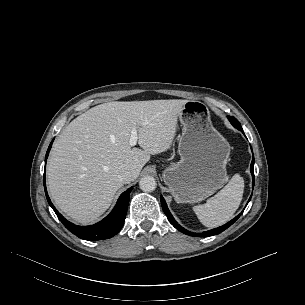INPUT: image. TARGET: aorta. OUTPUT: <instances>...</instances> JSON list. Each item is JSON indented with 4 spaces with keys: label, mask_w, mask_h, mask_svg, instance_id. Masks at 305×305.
Returning a JSON list of instances; mask_svg holds the SVG:
<instances>
[{
    "label": "aorta",
    "mask_w": 305,
    "mask_h": 305,
    "mask_svg": "<svg viewBox=\"0 0 305 305\" xmlns=\"http://www.w3.org/2000/svg\"><path fill=\"white\" fill-rule=\"evenodd\" d=\"M139 186L144 192H152L156 189L157 183L154 177L147 175L140 179Z\"/></svg>",
    "instance_id": "1"
}]
</instances>
